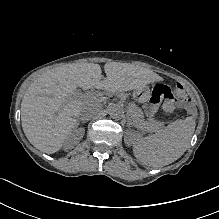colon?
I'll return each mask as SVG.
<instances>
[{"label":"colon","mask_w":219,"mask_h":219,"mask_svg":"<svg viewBox=\"0 0 219 219\" xmlns=\"http://www.w3.org/2000/svg\"><path fill=\"white\" fill-rule=\"evenodd\" d=\"M173 96L180 99L181 102H189L186 91L181 84H177L172 90ZM176 103L174 99H168L163 104L164 116L172 114L175 110Z\"/></svg>","instance_id":"colon-1"}]
</instances>
